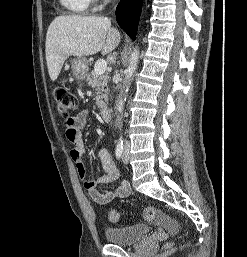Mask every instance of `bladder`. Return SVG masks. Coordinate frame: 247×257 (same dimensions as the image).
<instances>
[{"label": "bladder", "instance_id": "bladder-1", "mask_svg": "<svg viewBox=\"0 0 247 257\" xmlns=\"http://www.w3.org/2000/svg\"><path fill=\"white\" fill-rule=\"evenodd\" d=\"M150 228L144 224H136L126 227H107L106 239L116 245H131L148 236Z\"/></svg>", "mask_w": 247, "mask_h": 257}]
</instances>
